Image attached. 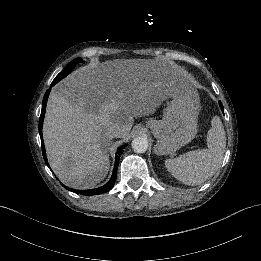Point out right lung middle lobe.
Listing matches in <instances>:
<instances>
[{
	"label": "right lung middle lobe",
	"mask_w": 261,
	"mask_h": 261,
	"mask_svg": "<svg viewBox=\"0 0 261 261\" xmlns=\"http://www.w3.org/2000/svg\"><path fill=\"white\" fill-rule=\"evenodd\" d=\"M82 60L81 58H76L72 60L53 80L52 84L58 83L60 80H62L64 77H66L76 66V64L80 63Z\"/></svg>",
	"instance_id": "right-lung-middle-lobe-1"
}]
</instances>
